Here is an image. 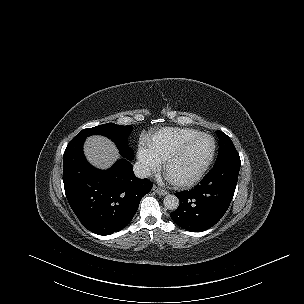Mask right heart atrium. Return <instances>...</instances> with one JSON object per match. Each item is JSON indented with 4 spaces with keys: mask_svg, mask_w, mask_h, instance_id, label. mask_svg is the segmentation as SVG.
I'll use <instances>...</instances> for the list:
<instances>
[{
    "mask_svg": "<svg viewBox=\"0 0 304 304\" xmlns=\"http://www.w3.org/2000/svg\"><path fill=\"white\" fill-rule=\"evenodd\" d=\"M137 159L140 170L146 175L156 172L161 166V158L146 142L138 145Z\"/></svg>",
    "mask_w": 304,
    "mask_h": 304,
    "instance_id": "d8ad5b80",
    "label": "right heart atrium"
}]
</instances>
